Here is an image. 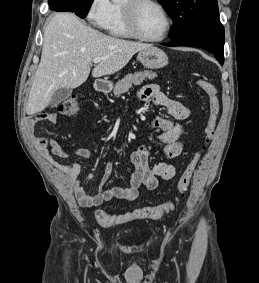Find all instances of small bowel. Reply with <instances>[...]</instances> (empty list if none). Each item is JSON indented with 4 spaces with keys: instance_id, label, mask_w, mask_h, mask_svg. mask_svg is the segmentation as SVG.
I'll use <instances>...</instances> for the list:
<instances>
[{
    "instance_id": "c3829d8e",
    "label": "small bowel",
    "mask_w": 259,
    "mask_h": 283,
    "mask_svg": "<svg viewBox=\"0 0 259 283\" xmlns=\"http://www.w3.org/2000/svg\"><path fill=\"white\" fill-rule=\"evenodd\" d=\"M138 98L140 102L152 101L154 105L166 107L173 118L179 121L187 119L190 115V110L186 105L168 97L156 85L143 87L139 91ZM44 120L50 123H57L58 117L55 113L35 114L27 121V131L44 159L65 177L75 197L82 206L95 207L111 200L130 202L137 198L138 189L141 186H144L148 190H154L157 188L159 179L170 180L176 176V167L172 163H169L168 160L178 157L183 150V145L180 141L183 132L182 125L174 123L169 119L155 117L151 120L150 127L159 130L157 139L162 145L161 152L167 161L159 162L153 167H150L148 163L150 156L149 150L144 146H139L130 154L133 174L130 185L127 188L111 187L109 189H103L114 177L113 166L108 162L98 185V193L96 195H89L80 179L81 165L75 162L68 164L60 163L54 159V156L65 158L70 154H74L85 159H91L93 152L80 147L64 150L57 140H47L37 135L35 133V127L37 123Z\"/></svg>"
}]
</instances>
